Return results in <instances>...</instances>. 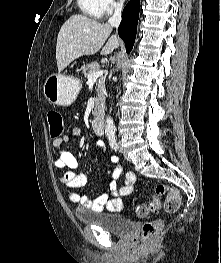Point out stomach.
I'll use <instances>...</instances> for the list:
<instances>
[{
    "label": "stomach",
    "instance_id": "1",
    "mask_svg": "<svg viewBox=\"0 0 221 263\" xmlns=\"http://www.w3.org/2000/svg\"><path fill=\"white\" fill-rule=\"evenodd\" d=\"M81 87V81L76 77L51 74L44 83L43 91L51 104L69 106L76 100Z\"/></svg>",
    "mask_w": 221,
    "mask_h": 263
}]
</instances>
